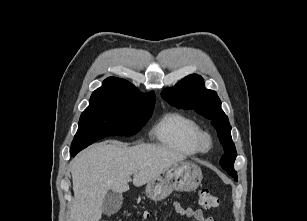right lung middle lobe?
Segmentation results:
<instances>
[{"label": "right lung middle lobe", "instance_id": "dd1d6c3e", "mask_svg": "<svg viewBox=\"0 0 307 221\" xmlns=\"http://www.w3.org/2000/svg\"><path fill=\"white\" fill-rule=\"evenodd\" d=\"M155 101L103 100L90 102L80 116L78 131L70 148L71 156L107 136L136 134L151 117Z\"/></svg>", "mask_w": 307, "mask_h": 221}]
</instances>
